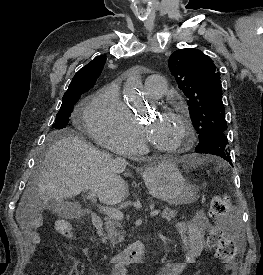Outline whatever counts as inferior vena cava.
Masks as SVG:
<instances>
[{
  "mask_svg": "<svg viewBox=\"0 0 263 275\" xmlns=\"http://www.w3.org/2000/svg\"><path fill=\"white\" fill-rule=\"evenodd\" d=\"M119 160H123L124 162H126L124 159L118 158Z\"/></svg>",
  "mask_w": 263,
  "mask_h": 275,
  "instance_id": "obj_1",
  "label": "inferior vena cava"
}]
</instances>
